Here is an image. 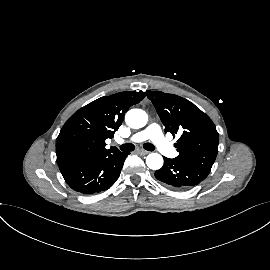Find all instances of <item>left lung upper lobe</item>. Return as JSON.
<instances>
[{
    "instance_id": "left-lung-upper-lobe-1",
    "label": "left lung upper lobe",
    "mask_w": 270,
    "mask_h": 270,
    "mask_svg": "<svg viewBox=\"0 0 270 270\" xmlns=\"http://www.w3.org/2000/svg\"><path fill=\"white\" fill-rule=\"evenodd\" d=\"M165 126V133L181 135L175 147L182 161L208 172L218 153L219 134L212 120L190 101L160 91H146Z\"/></svg>"
}]
</instances>
